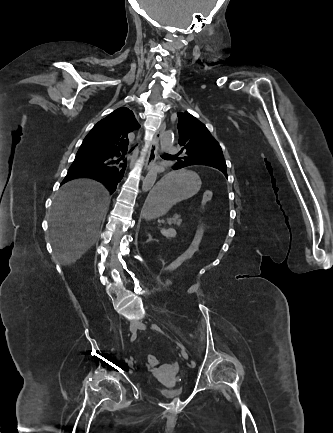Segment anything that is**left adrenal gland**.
<instances>
[{
  "instance_id": "a2214340",
  "label": "left adrenal gland",
  "mask_w": 333,
  "mask_h": 433,
  "mask_svg": "<svg viewBox=\"0 0 333 433\" xmlns=\"http://www.w3.org/2000/svg\"><path fill=\"white\" fill-rule=\"evenodd\" d=\"M147 235H148V239H147L146 243L153 241L151 234L148 233Z\"/></svg>"
}]
</instances>
